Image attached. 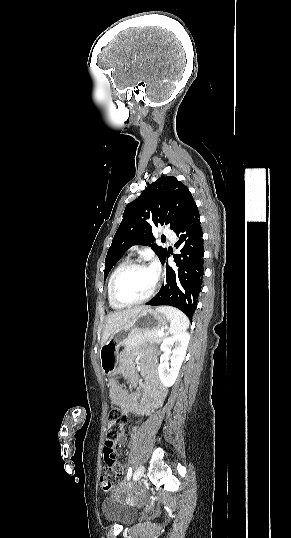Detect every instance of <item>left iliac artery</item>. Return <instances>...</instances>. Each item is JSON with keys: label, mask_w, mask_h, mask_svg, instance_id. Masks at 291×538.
Instances as JSON below:
<instances>
[{"label": "left iliac artery", "mask_w": 291, "mask_h": 538, "mask_svg": "<svg viewBox=\"0 0 291 538\" xmlns=\"http://www.w3.org/2000/svg\"><path fill=\"white\" fill-rule=\"evenodd\" d=\"M132 475V467L130 466L127 472V481L131 478Z\"/></svg>", "instance_id": "obj_1"}]
</instances>
